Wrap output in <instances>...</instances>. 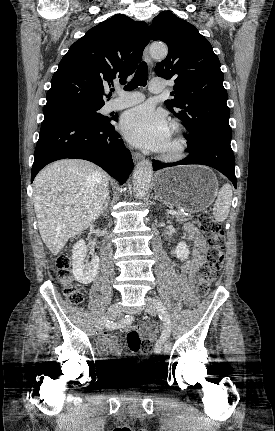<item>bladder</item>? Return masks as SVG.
Returning <instances> with one entry per match:
<instances>
[{"label":"bladder","mask_w":275,"mask_h":431,"mask_svg":"<svg viewBox=\"0 0 275 431\" xmlns=\"http://www.w3.org/2000/svg\"><path fill=\"white\" fill-rule=\"evenodd\" d=\"M114 365H117V364H115V363H110V364H109V366H110V367H113ZM114 367H115V366H114ZM135 369H142V368H135Z\"/></svg>","instance_id":"31cf9c89"}]
</instances>
